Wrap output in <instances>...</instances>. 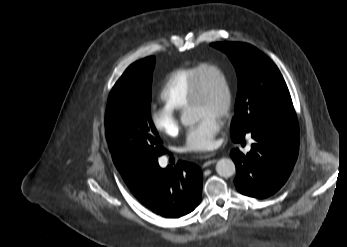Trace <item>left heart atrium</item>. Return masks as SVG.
<instances>
[{
  "label": "left heart atrium",
  "instance_id": "left-heart-atrium-1",
  "mask_svg": "<svg viewBox=\"0 0 347 247\" xmlns=\"http://www.w3.org/2000/svg\"><path fill=\"white\" fill-rule=\"evenodd\" d=\"M221 128L218 117L206 115L191 126L185 136L184 150L190 152H202L211 149L215 136Z\"/></svg>",
  "mask_w": 347,
  "mask_h": 247
}]
</instances>
